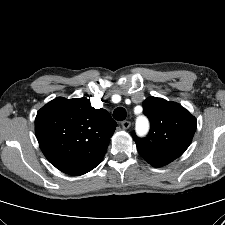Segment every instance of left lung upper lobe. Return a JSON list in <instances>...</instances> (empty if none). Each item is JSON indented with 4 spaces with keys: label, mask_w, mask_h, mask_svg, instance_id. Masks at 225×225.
<instances>
[{
    "label": "left lung upper lobe",
    "mask_w": 225,
    "mask_h": 225,
    "mask_svg": "<svg viewBox=\"0 0 225 225\" xmlns=\"http://www.w3.org/2000/svg\"><path fill=\"white\" fill-rule=\"evenodd\" d=\"M151 129L147 137L132 133L139 154L152 166L162 167L181 156L190 145L196 119L185 108L162 98L148 97L143 102Z\"/></svg>",
    "instance_id": "1"
}]
</instances>
